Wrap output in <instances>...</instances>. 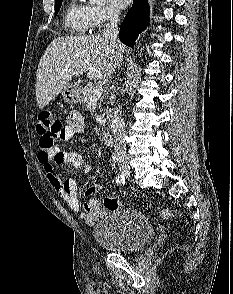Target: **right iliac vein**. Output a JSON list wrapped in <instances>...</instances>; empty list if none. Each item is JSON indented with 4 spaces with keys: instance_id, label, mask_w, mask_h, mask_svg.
<instances>
[{
    "instance_id": "1",
    "label": "right iliac vein",
    "mask_w": 233,
    "mask_h": 294,
    "mask_svg": "<svg viewBox=\"0 0 233 294\" xmlns=\"http://www.w3.org/2000/svg\"><path fill=\"white\" fill-rule=\"evenodd\" d=\"M120 171H121L122 175H124L126 177L130 176L131 171H130V168L128 166L121 165L120 166Z\"/></svg>"
}]
</instances>
